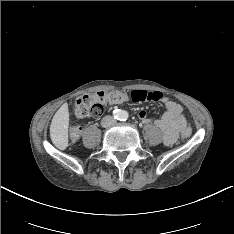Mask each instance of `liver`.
I'll use <instances>...</instances> for the list:
<instances>
[{
  "label": "liver",
  "instance_id": "1",
  "mask_svg": "<svg viewBox=\"0 0 234 234\" xmlns=\"http://www.w3.org/2000/svg\"><path fill=\"white\" fill-rule=\"evenodd\" d=\"M69 111L64 103L55 113L50 125V138L55 147L65 150L68 146Z\"/></svg>",
  "mask_w": 234,
  "mask_h": 234
}]
</instances>
